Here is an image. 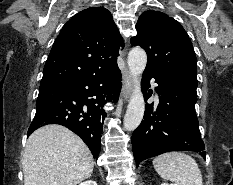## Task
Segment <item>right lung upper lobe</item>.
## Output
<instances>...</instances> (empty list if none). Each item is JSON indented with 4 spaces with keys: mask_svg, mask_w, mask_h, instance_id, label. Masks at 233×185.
I'll return each instance as SVG.
<instances>
[{
    "mask_svg": "<svg viewBox=\"0 0 233 185\" xmlns=\"http://www.w3.org/2000/svg\"><path fill=\"white\" fill-rule=\"evenodd\" d=\"M123 39L103 7L74 15L56 38L43 70L41 85L108 71L117 65Z\"/></svg>",
    "mask_w": 233,
    "mask_h": 185,
    "instance_id": "1",
    "label": "right lung upper lobe"
}]
</instances>
